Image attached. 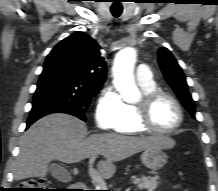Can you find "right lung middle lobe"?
Returning <instances> with one entry per match:
<instances>
[{
	"label": "right lung middle lobe",
	"instance_id": "dd1d6c3e",
	"mask_svg": "<svg viewBox=\"0 0 218 191\" xmlns=\"http://www.w3.org/2000/svg\"><path fill=\"white\" fill-rule=\"evenodd\" d=\"M100 89L101 85L93 84L65 68L44 64L32 104L51 101L85 112L91 98Z\"/></svg>",
	"mask_w": 218,
	"mask_h": 191
}]
</instances>
